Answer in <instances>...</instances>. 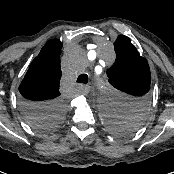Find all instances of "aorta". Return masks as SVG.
Segmentation results:
<instances>
[{
  "label": "aorta",
  "instance_id": "762f6f07",
  "mask_svg": "<svg viewBox=\"0 0 174 174\" xmlns=\"http://www.w3.org/2000/svg\"><path fill=\"white\" fill-rule=\"evenodd\" d=\"M95 95L99 108L103 114L102 121L106 122L110 115L121 116L123 111L115 99L113 90L104 82H99L95 87Z\"/></svg>",
  "mask_w": 174,
  "mask_h": 174
}]
</instances>
